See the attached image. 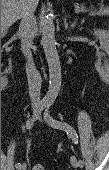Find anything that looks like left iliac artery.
Listing matches in <instances>:
<instances>
[{
	"label": "left iliac artery",
	"instance_id": "obj_1",
	"mask_svg": "<svg viewBox=\"0 0 109 170\" xmlns=\"http://www.w3.org/2000/svg\"><path fill=\"white\" fill-rule=\"evenodd\" d=\"M45 120L52 126V127H55L57 129H61V130H64L67 135L72 138L73 142L75 144L78 143V135L76 133V131L74 130V128L72 126H70L69 124L65 123V122H60V121H57L55 119H53L50 115H49V111L46 110L45 111ZM79 163L81 166L84 165V161L83 160H79Z\"/></svg>",
	"mask_w": 109,
	"mask_h": 170
}]
</instances>
